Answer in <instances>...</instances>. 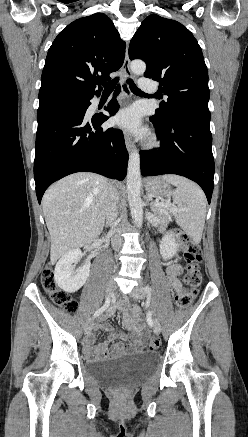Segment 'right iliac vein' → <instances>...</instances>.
Masks as SVG:
<instances>
[{"label": "right iliac vein", "instance_id": "1", "mask_svg": "<svg viewBox=\"0 0 248 437\" xmlns=\"http://www.w3.org/2000/svg\"><path fill=\"white\" fill-rule=\"evenodd\" d=\"M115 287H116V284H115L114 280L110 279V280L107 282V284H106V291H105V292H106V296H107L108 294H110L111 292H113L114 289H115ZM93 325H94L93 320H92V319H89V320L87 321L86 325H85V333H86V334H88V333L91 332V330H92V328H93Z\"/></svg>", "mask_w": 248, "mask_h": 437}]
</instances>
